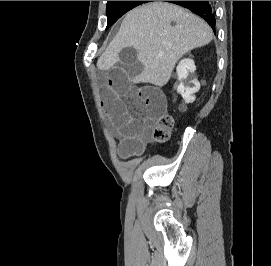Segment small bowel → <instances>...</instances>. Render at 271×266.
Returning <instances> with one entry per match:
<instances>
[{"label":"small bowel","instance_id":"c3829d8e","mask_svg":"<svg viewBox=\"0 0 271 266\" xmlns=\"http://www.w3.org/2000/svg\"><path fill=\"white\" fill-rule=\"evenodd\" d=\"M105 79L100 91V101L113 122L120 138V155L139 154L148 139L147 123L166 109V98L159 89L135 82L141 72L140 64L132 57L105 68ZM143 111L144 118L132 115L128 106Z\"/></svg>","mask_w":271,"mask_h":266}]
</instances>
